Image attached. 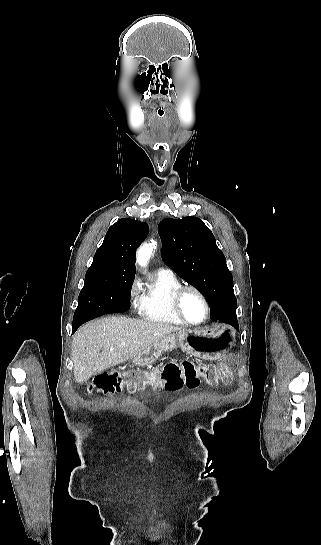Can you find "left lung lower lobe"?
I'll return each mask as SVG.
<instances>
[{
  "label": "left lung lower lobe",
  "instance_id": "0a47b994",
  "mask_svg": "<svg viewBox=\"0 0 321 545\" xmlns=\"http://www.w3.org/2000/svg\"><path fill=\"white\" fill-rule=\"evenodd\" d=\"M210 317L213 321H219V322L230 324L236 330H239L236 310H232V311H228L224 313L210 312Z\"/></svg>",
  "mask_w": 321,
  "mask_h": 545
}]
</instances>
